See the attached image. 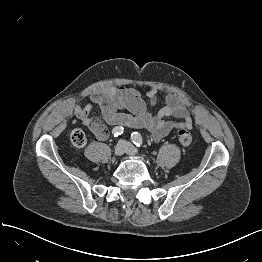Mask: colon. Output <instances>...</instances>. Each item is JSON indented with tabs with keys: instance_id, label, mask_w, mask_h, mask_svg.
Segmentation results:
<instances>
[{
	"instance_id": "1",
	"label": "colon",
	"mask_w": 262,
	"mask_h": 262,
	"mask_svg": "<svg viewBox=\"0 0 262 262\" xmlns=\"http://www.w3.org/2000/svg\"><path fill=\"white\" fill-rule=\"evenodd\" d=\"M177 138L178 141L183 146H189L192 142V135L189 127L188 126L179 127L177 130ZM70 140L74 147L78 149L83 148L87 141L86 134L82 129L76 128L71 132Z\"/></svg>"
}]
</instances>
